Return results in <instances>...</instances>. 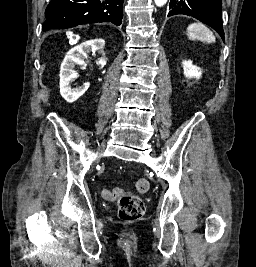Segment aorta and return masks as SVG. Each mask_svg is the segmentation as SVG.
Segmentation results:
<instances>
[{"label":"aorta","instance_id":"762f6f07","mask_svg":"<svg viewBox=\"0 0 256 267\" xmlns=\"http://www.w3.org/2000/svg\"><path fill=\"white\" fill-rule=\"evenodd\" d=\"M156 6H158V8H162V6H165V4H167L168 0H154Z\"/></svg>","mask_w":256,"mask_h":267}]
</instances>
